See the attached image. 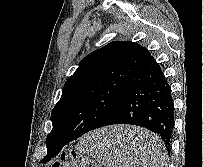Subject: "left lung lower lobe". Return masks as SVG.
<instances>
[{"label":"left lung lower lobe","mask_w":203,"mask_h":167,"mask_svg":"<svg viewBox=\"0 0 203 167\" xmlns=\"http://www.w3.org/2000/svg\"><path fill=\"white\" fill-rule=\"evenodd\" d=\"M113 124L147 128L156 133L169 149L174 127V104L171 88L153 57L138 71L114 111L98 128ZM67 143L68 140L53 143L47 150V161Z\"/></svg>","instance_id":"1"}]
</instances>
